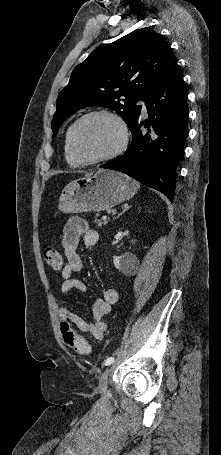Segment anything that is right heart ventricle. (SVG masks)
Here are the masks:
<instances>
[{"mask_svg": "<svg viewBox=\"0 0 221 455\" xmlns=\"http://www.w3.org/2000/svg\"><path fill=\"white\" fill-rule=\"evenodd\" d=\"M71 127L70 126L65 134V140H64V155L66 158V161L68 164L72 167H80L83 163L76 158V156L73 154L70 146V132H71Z\"/></svg>", "mask_w": 221, "mask_h": 455, "instance_id": "right-heart-ventricle-1", "label": "right heart ventricle"}]
</instances>
